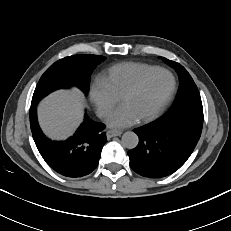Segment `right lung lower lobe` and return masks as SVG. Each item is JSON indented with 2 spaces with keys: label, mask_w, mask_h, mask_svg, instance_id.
<instances>
[{
  "label": "right lung lower lobe",
  "mask_w": 231,
  "mask_h": 231,
  "mask_svg": "<svg viewBox=\"0 0 231 231\" xmlns=\"http://www.w3.org/2000/svg\"><path fill=\"white\" fill-rule=\"evenodd\" d=\"M30 125L35 144L45 162L59 174L76 178L88 175L98 165L106 143L104 125L85 116L76 133L65 141H51L37 122L36 106L30 108Z\"/></svg>",
  "instance_id": "obj_1"
}]
</instances>
